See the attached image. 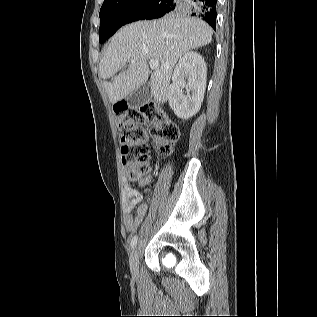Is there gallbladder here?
Here are the masks:
<instances>
[{"instance_id":"bac80fb5","label":"gallbladder","mask_w":317,"mask_h":317,"mask_svg":"<svg viewBox=\"0 0 317 317\" xmlns=\"http://www.w3.org/2000/svg\"><path fill=\"white\" fill-rule=\"evenodd\" d=\"M151 98V88L149 83L143 84L127 97L130 107L138 108L147 103Z\"/></svg>"}]
</instances>
